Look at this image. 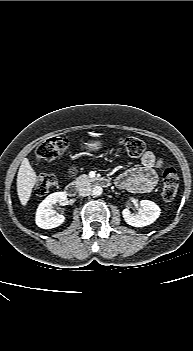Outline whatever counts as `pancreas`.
<instances>
[{
	"instance_id": "obj_1",
	"label": "pancreas",
	"mask_w": 193,
	"mask_h": 351,
	"mask_svg": "<svg viewBox=\"0 0 193 351\" xmlns=\"http://www.w3.org/2000/svg\"><path fill=\"white\" fill-rule=\"evenodd\" d=\"M92 181H93V179H91L86 174L80 175L79 177L76 178V184L77 185H81V184H84V183H90Z\"/></svg>"
}]
</instances>
